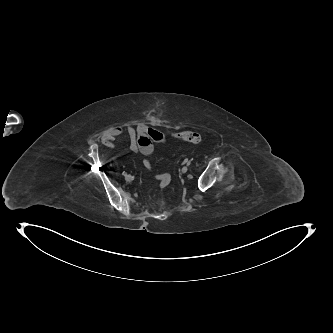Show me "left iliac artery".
I'll return each mask as SVG.
<instances>
[{
    "label": "left iliac artery",
    "instance_id": "obj_1",
    "mask_svg": "<svg viewBox=\"0 0 333 333\" xmlns=\"http://www.w3.org/2000/svg\"><path fill=\"white\" fill-rule=\"evenodd\" d=\"M184 162L187 163V165L190 164V161H188L187 159Z\"/></svg>",
    "mask_w": 333,
    "mask_h": 333
}]
</instances>
